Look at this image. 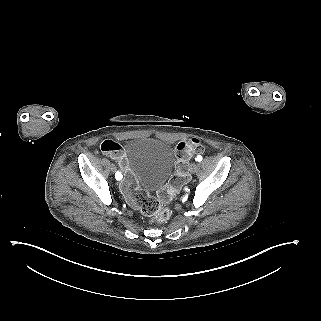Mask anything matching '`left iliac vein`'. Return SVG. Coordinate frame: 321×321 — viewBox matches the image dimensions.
<instances>
[{
	"mask_svg": "<svg viewBox=\"0 0 321 321\" xmlns=\"http://www.w3.org/2000/svg\"><path fill=\"white\" fill-rule=\"evenodd\" d=\"M198 167L195 163H193L191 166H190V172L191 173H195L197 171Z\"/></svg>",
	"mask_w": 321,
	"mask_h": 321,
	"instance_id": "4c4485c4",
	"label": "left iliac vein"
}]
</instances>
